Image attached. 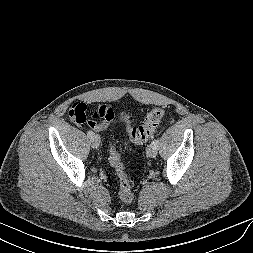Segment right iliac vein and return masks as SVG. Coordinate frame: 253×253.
I'll list each match as a JSON object with an SVG mask.
<instances>
[{"label": "right iliac vein", "instance_id": "63e3f726", "mask_svg": "<svg viewBox=\"0 0 253 253\" xmlns=\"http://www.w3.org/2000/svg\"><path fill=\"white\" fill-rule=\"evenodd\" d=\"M90 144L93 148H98L100 145V138L98 135H94L91 140H90Z\"/></svg>", "mask_w": 253, "mask_h": 253}]
</instances>
